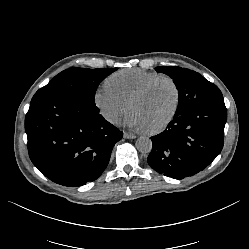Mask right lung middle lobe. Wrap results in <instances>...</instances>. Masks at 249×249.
Returning <instances> with one entry per match:
<instances>
[{
  "label": "right lung middle lobe",
  "instance_id": "right-lung-middle-lobe-1",
  "mask_svg": "<svg viewBox=\"0 0 249 249\" xmlns=\"http://www.w3.org/2000/svg\"><path fill=\"white\" fill-rule=\"evenodd\" d=\"M115 70L117 68H69L60 72L46 86L39 89L31 103L41 99L72 97L95 105L94 98L99 83Z\"/></svg>",
  "mask_w": 249,
  "mask_h": 249
}]
</instances>
